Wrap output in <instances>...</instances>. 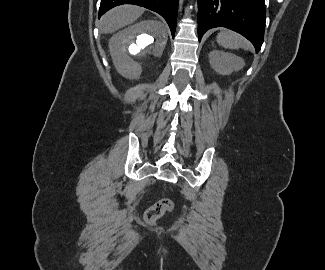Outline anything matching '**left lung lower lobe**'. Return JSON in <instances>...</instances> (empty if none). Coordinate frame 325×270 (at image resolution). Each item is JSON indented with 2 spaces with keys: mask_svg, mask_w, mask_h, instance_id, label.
Instances as JSON below:
<instances>
[{
  "mask_svg": "<svg viewBox=\"0 0 325 270\" xmlns=\"http://www.w3.org/2000/svg\"><path fill=\"white\" fill-rule=\"evenodd\" d=\"M265 0H198V39L211 28L226 27L261 48L265 31Z\"/></svg>",
  "mask_w": 325,
  "mask_h": 270,
  "instance_id": "0a47b994",
  "label": "left lung lower lobe"
}]
</instances>
